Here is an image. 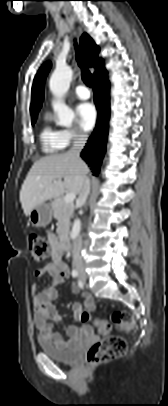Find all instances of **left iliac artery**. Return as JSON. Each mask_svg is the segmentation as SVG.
Listing matches in <instances>:
<instances>
[{
	"label": "left iliac artery",
	"instance_id": "left-iliac-artery-1",
	"mask_svg": "<svg viewBox=\"0 0 168 406\" xmlns=\"http://www.w3.org/2000/svg\"><path fill=\"white\" fill-rule=\"evenodd\" d=\"M80 288H83V283L81 281L78 282Z\"/></svg>",
	"mask_w": 168,
	"mask_h": 406
}]
</instances>
